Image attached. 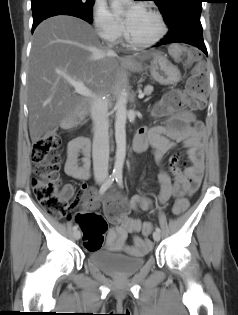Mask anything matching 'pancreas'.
<instances>
[{
    "instance_id": "cf45deb5",
    "label": "pancreas",
    "mask_w": 238,
    "mask_h": 315,
    "mask_svg": "<svg viewBox=\"0 0 238 315\" xmlns=\"http://www.w3.org/2000/svg\"><path fill=\"white\" fill-rule=\"evenodd\" d=\"M153 86L152 85H147L144 88V95H150L153 92Z\"/></svg>"
}]
</instances>
